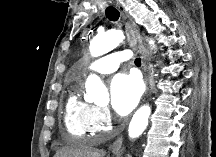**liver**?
Listing matches in <instances>:
<instances>
[{
    "instance_id": "liver-1",
    "label": "liver",
    "mask_w": 216,
    "mask_h": 157,
    "mask_svg": "<svg viewBox=\"0 0 216 157\" xmlns=\"http://www.w3.org/2000/svg\"><path fill=\"white\" fill-rule=\"evenodd\" d=\"M102 155V152L93 150L84 144L75 143L59 151L56 157H102Z\"/></svg>"
}]
</instances>
